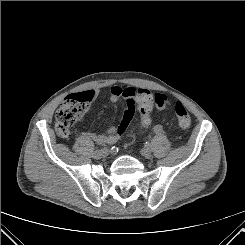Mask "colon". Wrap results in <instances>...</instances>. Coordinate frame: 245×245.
Here are the masks:
<instances>
[{
	"instance_id": "1",
	"label": "colon",
	"mask_w": 245,
	"mask_h": 245,
	"mask_svg": "<svg viewBox=\"0 0 245 245\" xmlns=\"http://www.w3.org/2000/svg\"><path fill=\"white\" fill-rule=\"evenodd\" d=\"M153 93L146 89L136 91V104L141 116L142 128L146 129L151 124V110L154 106ZM94 92L86 91L68 96L55 117V130L59 137L67 138L70 134V128L80 120L86 112L88 104L93 99ZM175 115L178 125L181 129L187 130L191 124V118L180 102L175 104Z\"/></svg>"
}]
</instances>
